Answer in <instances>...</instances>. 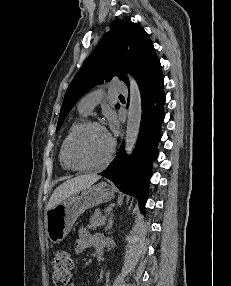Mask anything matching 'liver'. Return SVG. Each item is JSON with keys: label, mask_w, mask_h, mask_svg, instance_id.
Here are the masks:
<instances>
[{"label": "liver", "mask_w": 231, "mask_h": 286, "mask_svg": "<svg viewBox=\"0 0 231 286\" xmlns=\"http://www.w3.org/2000/svg\"><path fill=\"white\" fill-rule=\"evenodd\" d=\"M100 179V176L95 174L81 175L75 178L69 179L66 182L59 185L52 193L46 210L51 209L57 204L61 203L70 195L75 192L84 189Z\"/></svg>", "instance_id": "1"}]
</instances>
